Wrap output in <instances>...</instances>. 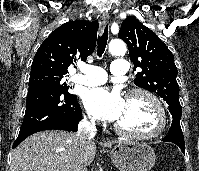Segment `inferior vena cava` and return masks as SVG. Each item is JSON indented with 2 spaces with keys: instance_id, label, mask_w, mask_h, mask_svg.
<instances>
[{
  "instance_id": "inferior-vena-cava-1",
  "label": "inferior vena cava",
  "mask_w": 199,
  "mask_h": 171,
  "mask_svg": "<svg viewBox=\"0 0 199 171\" xmlns=\"http://www.w3.org/2000/svg\"><path fill=\"white\" fill-rule=\"evenodd\" d=\"M96 131L94 119L88 120L85 117L79 122L76 134L78 150L72 164L73 171H87V163L84 160L83 149L85 145L95 137Z\"/></svg>"
}]
</instances>
